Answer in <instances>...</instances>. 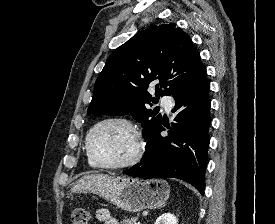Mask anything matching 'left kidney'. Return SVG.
Instances as JSON below:
<instances>
[{"label":"left kidney","instance_id":"5707ae66","mask_svg":"<svg viewBox=\"0 0 275 224\" xmlns=\"http://www.w3.org/2000/svg\"><path fill=\"white\" fill-rule=\"evenodd\" d=\"M155 224H177V219L171 213H164L157 218Z\"/></svg>","mask_w":275,"mask_h":224}]
</instances>
